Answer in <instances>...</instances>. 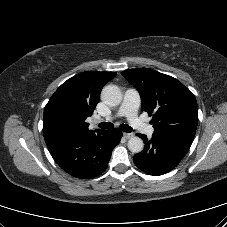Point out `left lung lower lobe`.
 Wrapping results in <instances>:
<instances>
[{"label": "left lung lower lobe", "instance_id": "0a47b994", "mask_svg": "<svg viewBox=\"0 0 227 227\" xmlns=\"http://www.w3.org/2000/svg\"><path fill=\"white\" fill-rule=\"evenodd\" d=\"M145 143L142 152L133 157L135 165L150 175L171 171L184 158L192 142L180 137L154 133L151 140L137 134Z\"/></svg>", "mask_w": 227, "mask_h": 227}]
</instances>
